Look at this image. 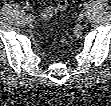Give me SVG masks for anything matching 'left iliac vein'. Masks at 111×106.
Segmentation results:
<instances>
[{
  "label": "left iliac vein",
  "instance_id": "4c4485c4",
  "mask_svg": "<svg viewBox=\"0 0 111 106\" xmlns=\"http://www.w3.org/2000/svg\"><path fill=\"white\" fill-rule=\"evenodd\" d=\"M86 17V12L85 11H82L79 15V18L80 19H84Z\"/></svg>",
  "mask_w": 111,
  "mask_h": 106
}]
</instances>
